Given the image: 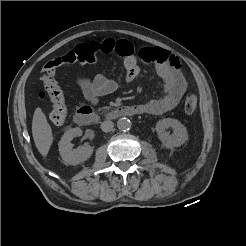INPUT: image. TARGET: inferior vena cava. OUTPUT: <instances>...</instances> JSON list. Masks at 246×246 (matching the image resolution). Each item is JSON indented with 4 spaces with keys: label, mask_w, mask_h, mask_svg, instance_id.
<instances>
[{
    "label": "inferior vena cava",
    "mask_w": 246,
    "mask_h": 246,
    "mask_svg": "<svg viewBox=\"0 0 246 246\" xmlns=\"http://www.w3.org/2000/svg\"><path fill=\"white\" fill-rule=\"evenodd\" d=\"M114 127V123L112 121H104L101 123V129L103 132H110Z\"/></svg>",
    "instance_id": "1"
}]
</instances>
